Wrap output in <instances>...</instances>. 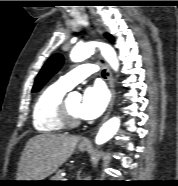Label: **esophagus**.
I'll use <instances>...</instances> for the list:
<instances>
[{"label":"esophagus","instance_id":"1","mask_svg":"<svg viewBox=\"0 0 178 186\" xmlns=\"http://www.w3.org/2000/svg\"><path fill=\"white\" fill-rule=\"evenodd\" d=\"M101 64L104 65V67L106 68V75H107V79H108V83H109V87H110V90H111V100H110V103H109V106H108V110L104 116V118L102 119V122H105L108 117L110 116L111 114V111L113 109V105H114V102H115V88H114V81H113V76H112V73H111V70L109 68V66L107 65V63L101 59ZM82 143L84 144H87L89 143V139L86 138L82 141Z\"/></svg>","mask_w":178,"mask_h":186}]
</instances>
